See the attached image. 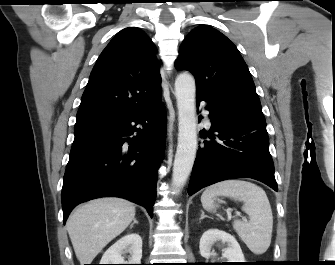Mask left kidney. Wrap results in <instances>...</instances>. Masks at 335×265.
Here are the masks:
<instances>
[{"mask_svg":"<svg viewBox=\"0 0 335 265\" xmlns=\"http://www.w3.org/2000/svg\"><path fill=\"white\" fill-rule=\"evenodd\" d=\"M218 241L227 244V248L223 249L222 256L226 258L228 262H245L244 255L236 238L218 229H209L203 233L199 244L201 256L204 258L216 256V253L212 252L211 248Z\"/></svg>","mask_w":335,"mask_h":265,"instance_id":"1","label":"left kidney"}]
</instances>
